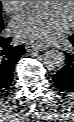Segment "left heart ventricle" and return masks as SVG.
Instances as JSON below:
<instances>
[{"instance_id":"1","label":"left heart ventricle","mask_w":74,"mask_h":122,"mask_svg":"<svg viewBox=\"0 0 74 122\" xmlns=\"http://www.w3.org/2000/svg\"><path fill=\"white\" fill-rule=\"evenodd\" d=\"M46 6H57L62 11L63 15L70 19L71 18V2L70 1H47Z\"/></svg>"}]
</instances>
